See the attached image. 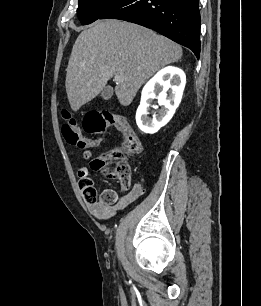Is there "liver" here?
Here are the masks:
<instances>
[{"mask_svg":"<svg viewBox=\"0 0 261 306\" xmlns=\"http://www.w3.org/2000/svg\"><path fill=\"white\" fill-rule=\"evenodd\" d=\"M181 57L180 45L150 29L116 19L97 21L72 48L65 81L71 109L94 99L115 75L122 77L117 98L128 106L154 73Z\"/></svg>","mask_w":261,"mask_h":306,"instance_id":"liver-1","label":"liver"}]
</instances>
